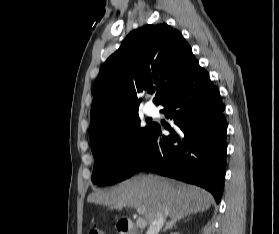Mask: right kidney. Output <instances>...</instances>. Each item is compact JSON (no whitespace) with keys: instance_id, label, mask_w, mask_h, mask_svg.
Wrapping results in <instances>:
<instances>
[{"instance_id":"1","label":"right kidney","mask_w":279,"mask_h":234,"mask_svg":"<svg viewBox=\"0 0 279 234\" xmlns=\"http://www.w3.org/2000/svg\"><path fill=\"white\" fill-rule=\"evenodd\" d=\"M171 234H179V233H171Z\"/></svg>"}]
</instances>
